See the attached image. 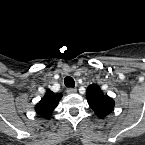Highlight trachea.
<instances>
[{
  "instance_id": "1",
  "label": "trachea",
  "mask_w": 145,
  "mask_h": 145,
  "mask_svg": "<svg viewBox=\"0 0 145 145\" xmlns=\"http://www.w3.org/2000/svg\"><path fill=\"white\" fill-rule=\"evenodd\" d=\"M64 84L66 87L72 88L75 86L74 79L70 76H66L64 79Z\"/></svg>"
}]
</instances>
